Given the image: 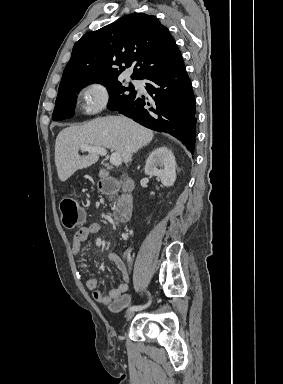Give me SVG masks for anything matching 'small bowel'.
<instances>
[{"instance_id": "c3829d8e", "label": "small bowel", "mask_w": 283, "mask_h": 384, "mask_svg": "<svg viewBox=\"0 0 283 384\" xmlns=\"http://www.w3.org/2000/svg\"><path fill=\"white\" fill-rule=\"evenodd\" d=\"M101 231V225L98 223H89L82 226L73 236L72 251L77 260L81 258L82 243L86 241L91 235L97 234ZM108 260L113 263L120 271L122 280L114 288L110 289L107 294L102 293L98 289V281L94 277H88L86 280V287L91 291L93 299L103 305H109L114 300L120 298L129 288L130 274L127 263L116 253H110Z\"/></svg>"}]
</instances>
